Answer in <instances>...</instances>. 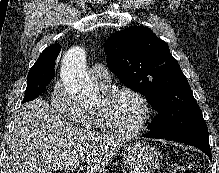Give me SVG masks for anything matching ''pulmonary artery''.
Wrapping results in <instances>:
<instances>
[{"mask_svg": "<svg viewBox=\"0 0 219 173\" xmlns=\"http://www.w3.org/2000/svg\"><path fill=\"white\" fill-rule=\"evenodd\" d=\"M89 73L94 82L103 87H107L111 82L108 69L102 63H95L89 69Z\"/></svg>", "mask_w": 219, "mask_h": 173, "instance_id": "obj_1", "label": "pulmonary artery"}]
</instances>
